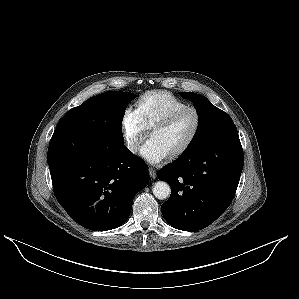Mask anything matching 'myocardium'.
<instances>
[{"mask_svg": "<svg viewBox=\"0 0 299 299\" xmlns=\"http://www.w3.org/2000/svg\"><path fill=\"white\" fill-rule=\"evenodd\" d=\"M187 112H193L194 113V115H195V127L193 129V132H192L191 136L186 141V143L183 146H181L178 150H176L173 153L169 154V157L171 159H175V158H178V157L184 155L186 152L189 151V149L195 143V141H196V139H197V137L199 135V132H200V129H201V125H202V116H201L200 111L196 107H194V106H186L184 108H181V109H179V110H177V111L169 114L168 116H166L162 120H160L157 123H155L150 128V136H151L152 133L154 131H156V130L168 128L177 119H179L183 114H185Z\"/></svg>", "mask_w": 299, "mask_h": 299, "instance_id": "myocardium-1", "label": "myocardium"}]
</instances>
